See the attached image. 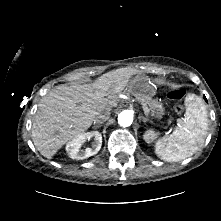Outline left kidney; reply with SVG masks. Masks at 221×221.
Returning <instances> with one entry per match:
<instances>
[{
    "label": "left kidney",
    "instance_id": "left-kidney-1",
    "mask_svg": "<svg viewBox=\"0 0 221 221\" xmlns=\"http://www.w3.org/2000/svg\"><path fill=\"white\" fill-rule=\"evenodd\" d=\"M155 132L153 130H147L144 134V140L147 143H151L155 139Z\"/></svg>",
    "mask_w": 221,
    "mask_h": 221
}]
</instances>
